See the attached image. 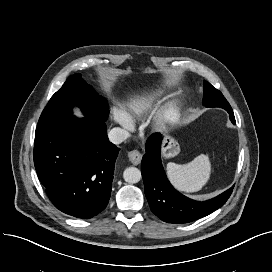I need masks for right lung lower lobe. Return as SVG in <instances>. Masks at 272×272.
<instances>
[{
  "instance_id": "1",
  "label": "right lung lower lobe",
  "mask_w": 272,
  "mask_h": 272,
  "mask_svg": "<svg viewBox=\"0 0 272 272\" xmlns=\"http://www.w3.org/2000/svg\"><path fill=\"white\" fill-rule=\"evenodd\" d=\"M119 150L109 142L105 122L72 117L36 128L34 164L54 206L88 219L109 202Z\"/></svg>"
}]
</instances>
